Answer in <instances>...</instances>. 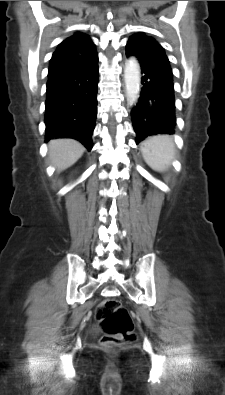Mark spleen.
<instances>
[{"instance_id": "obj_1", "label": "spleen", "mask_w": 225, "mask_h": 395, "mask_svg": "<svg viewBox=\"0 0 225 395\" xmlns=\"http://www.w3.org/2000/svg\"><path fill=\"white\" fill-rule=\"evenodd\" d=\"M145 162L155 171L163 172L175 158V145L167 135L153 136L141 145Z\"/></svg>"}]
</instances>
